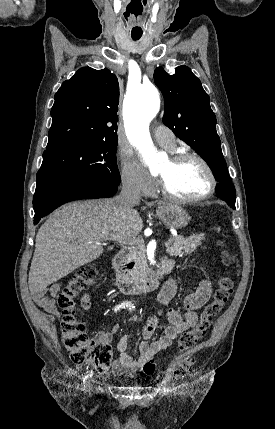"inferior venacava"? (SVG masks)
Segmentation results:
<instances>
[{"label":"inferior vena cava","instance_id":"1","mask_svg":"<svg viewBox=\"0 0 275 429\" xmlns=\"http://www.w3.org/2000/svg\"><path fill=\"white\" fill-rule=\"evenodd\" d=\"M140 199L138 182L133 178H125L122 182L121 193L117 196L120 207L123 209L132 208Z\"/></svg>","mask_w":275,"mask_h":429}]
</instances>
